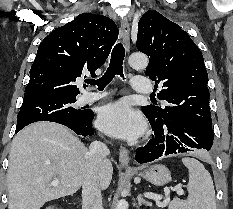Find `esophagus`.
I'll return each mask as SVG.
<instances>
[{
    "label": "esophagus",
    "instance_id": "1",
    "mask_svg": "<svg viewBox=\"0 0 233 209\" xmlns=\"http://www.w3.org/2000/svg\"><path fill=\"white\" fill-rule=\"evenodd\" d=\"M123 43L127 52L130 48V26L126 20H122L120 28ZM129 152L125 147H121L119 150V162L124 167H129Z\"/></svg>",
    "mask_w": 233,
    "mask_h": 209
}]
</instances>
